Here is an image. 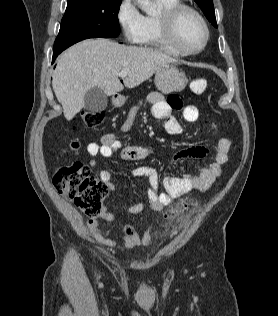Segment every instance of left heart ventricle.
<instances>
[{
    "label": "left heart ventricle",
    "mask_w": 278,
    "mask_h": 316,
    "mask_svg": "<svg viewBox=\"0 0 278 316\" xmlns=\"http://www.w3.org/2000/svg\"><path fill=\"white\" fill-rule=\"evenodd\" d=\"M181 41L191 49L200 47L205 37V31L200 21L191 13H184L178 24Z\"/></svg>",
    "instance_id": "1"
}]
</instances>
